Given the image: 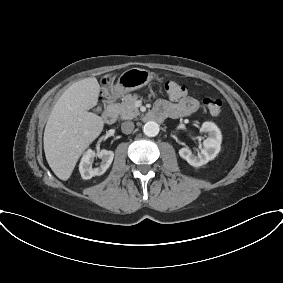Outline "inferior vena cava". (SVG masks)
<instances>
[{
  "label": "inferior vena cava",
  "instance_id": "obj_1",
  "mask_svg": "<svg viewBox=\"0 0 283 283\" xmlns=\"http://www.w3.org/2000/svg\"><path fill=\"white\" fill-rule=\"evenodd\" d=\"M134 123L132 121H125L121 124V130L125 134H130L134 130Z\"/></svg>",
  "mask_w": 283,
  "mask_h": 283
}]
</instances>
